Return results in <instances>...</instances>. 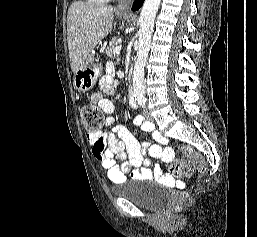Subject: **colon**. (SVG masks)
Here are the masks:
<instances>
[{"label": "colon", "instance_id": "5ec220e1", "mask_svg": "<svg viewBox=\"0 0 257 237\" xmlns=\"http://www.w3.org/2000/svg\"><path fill=\"white\" fill-rule=\"evenodd\" d=\"M82 123L88 131L94 134H99L103 128V116L101 111L91 103L85 104L81 110ZM181 154L187 158L185 161H177L171 165V171L176 176H188L192 173L194 162L199 163V171L202 173L205 170V164L202 161L201 155L192 146L183 144L179 148ZM188 198L187 193L181 194L177 205L176 211H179L181 206Z\"/></svg>", "mask_w": 257, "mask_h": 237}]
</instances>
